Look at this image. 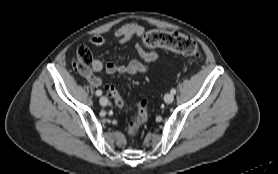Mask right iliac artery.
<instances>
[{
    "instance_id": "82829eb1",
    "label": "right iliac artery",
    "mask_w": 278,
    "mask_h": 174,
    "mask_svg": "<svg viewBox=\"0 0 278 174\" xmlns=\"http://www.w3.org/2000/svg\"><path fill=\"white\" fill-rule=\"evenodd\" d=\"M96 95H97V96H101V95H102V91H101V90H97V91H96Z\"/></svg>"
}]
</instances>
